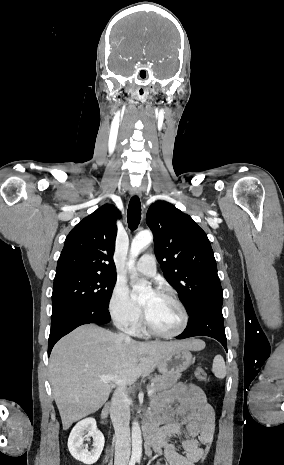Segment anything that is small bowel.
Masks as SVG:
<instances>
[{
  "label": "small bowel",
  "instance_id": "obj_1",
  "mask_svg": "<svg viewBox=\"0 0 284 465\" xmlns=\"http://www.w3.org/2000/svg\"><path fill=\"white\" fill-rule=\"evenodd\" d=\"M145 429L149 464L154 456L168 465H194L204 453L202 445L211 444L215 432V414L203 390L195 384L179 383L160 396ZM181 436L180 444L172 441Z\"/></svg>",
  "mask_w": 284,
  "mask_h": 465
}]
</instances>
